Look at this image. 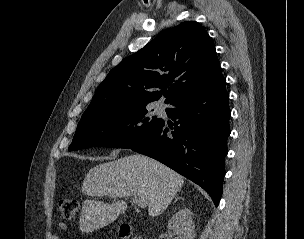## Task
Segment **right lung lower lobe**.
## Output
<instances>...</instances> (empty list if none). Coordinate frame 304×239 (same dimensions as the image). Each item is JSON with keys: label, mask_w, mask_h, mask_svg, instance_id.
Wrapping results in <instances>:
<instances>
[{"label": "right lung lower lobe", "mask_w": 304, "mask_h": 239, "mask_svg": "<svg viewBox=\"0 0 304 239\" xmlns=\"http://www.w3.org/2000/svg\"><path fill=\"white\" fill-rule=\"evenodd\" d=\"M226 80L221 71L203 85L182 93L169 104L164 120L130 149L152 157L192 180L219 204L230 135Z\"/></svg>", "instance_id": "1"}]
</instances>
